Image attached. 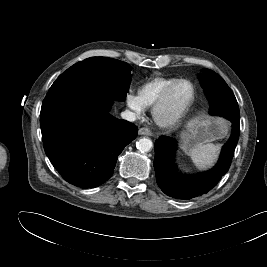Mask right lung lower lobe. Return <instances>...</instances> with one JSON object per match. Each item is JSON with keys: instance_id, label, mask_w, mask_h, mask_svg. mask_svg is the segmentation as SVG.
I'll list each match as a JSON object with an SVG mask.
<instances>
[{"instance_id": "obj_1", "label": "right lung lower lobe", "mask_w": 267, "mask_h": 267, "mask_svg": "<svg viewBox=\"0 0 267 267\" xmlns=\"http://www.w3.org/2000/svg\"><path fill=\"white\" fill-rule=\"evenodd\" d=\"M112 98L89 91L63 94L42 104L40 126L50 162L64 180L95 188L113 174L118 155L138 128L109 114Z\"/></svg>"}]
</instances>
